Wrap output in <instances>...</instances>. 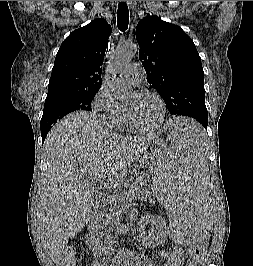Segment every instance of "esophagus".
Instances as JSON below:
<instances>
[{"instance_id":"34e87169","label":"esophagus","mask_w":253,"mask_h":266,"mask_svg":"<svg viewBox=\"0 0 253 266\" xmlns=\"http://www.w3.org/2000/svg\"><path fill=\"white\" fill-rule=\"evenodd\" d=\"M124 2H126V3H128V4H131V1H124Z\"/></svg>"}]
</instances>
